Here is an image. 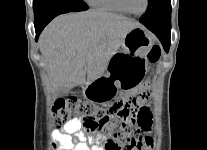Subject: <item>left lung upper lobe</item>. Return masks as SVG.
I'll use <instances>...</instances> for the list:
<instances>
[{"mask_svg": "<svg viewBox=\"0 0 207 150\" xmlns=\"http://www.w3.org/2000/svg\"><path fill=\"white\" fill-rule=\"evenodd\" d=\"M171 21L170 0H148L146 13L141 16L143 24H156Z\"/></svg>", "mask_w": 207, "mask_h": 150, "instance_id": "obj_1", "label": "left lung upper lobe"}]
</instances>
